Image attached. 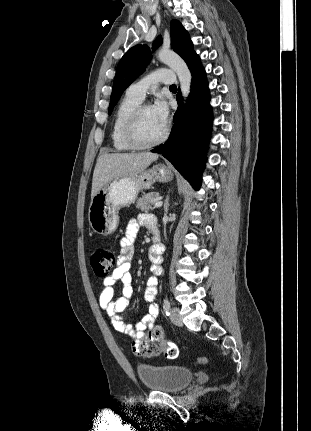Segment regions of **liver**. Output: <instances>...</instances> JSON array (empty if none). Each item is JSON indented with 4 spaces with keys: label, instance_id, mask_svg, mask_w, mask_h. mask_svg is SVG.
<instances>
[{
    "label": "liver",
    "instance_id": "6515ba94",
    "mask_svg": "<svg viewBox=\"0 0 311 431\" xmlns=\"http://www.w3.org/2000/svg\"><path fill=\"white\" fill-rule=\"evenodd\" d=\"M158 154L142 152V154H103L94 168L91 188V200L101 188L123 178H136L150 164L158 160Z\"/></svg>",
    "mask_w": 311,
    "mask_h": 431
}]
</instances>
